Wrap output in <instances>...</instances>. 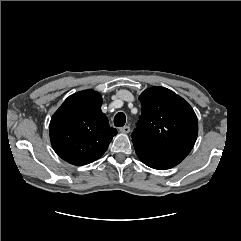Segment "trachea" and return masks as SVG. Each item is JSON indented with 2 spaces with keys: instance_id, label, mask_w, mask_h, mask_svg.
Returning <instances> with one entry per match:
<instances>
[{
  "instance_id": "trachea-1",
  "label": "trachea",
  "mask_w": 241,
  "mask_h": 241,
  "mask_svg": "<svg viewBox=\"0 0 241 241\" xmlns=\"http://www.w3.org/2000/svg\"><path fill=\"white\" fill-rule=\"evenodd\" d=\"M126 116L123 112H118L114 117V125L117 127H122L125 125Z\"/></svg>"
}]
</instances>
